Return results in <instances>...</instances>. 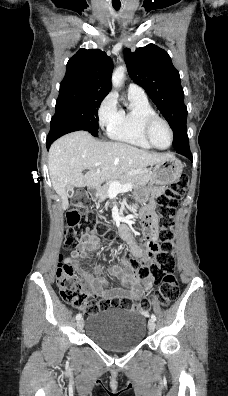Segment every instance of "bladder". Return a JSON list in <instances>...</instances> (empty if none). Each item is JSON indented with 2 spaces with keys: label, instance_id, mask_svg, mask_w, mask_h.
I'll return each mask as SVG.
<instances>
[{
  "label": "bladder",
  "instance_id": "obj_1",
  "mask_svg": "<svg viewBox=\"0 0 228 396\" xmlns=\"http://www.w3.org/2000/svg\"><path fill=\"white\" fill-rule=\"evenodd\" d=\"M86 336L97 345L113 351L130 350L146 337L145 318L132 310L109 308L89 315Z\"/></svg>",
  "mask_w": 228,
  "mask_h": 396
}]
</instances>
